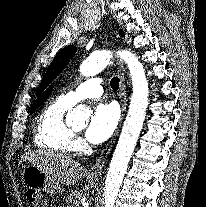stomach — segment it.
<instances>
[{
	"instance_id": "1",
	"label": "stomach",
	"mask_w": 206,
	"mask_h": 207,
	"mask_svg": "<svg viewBox=\"0 0 206 207\" xmlns=\"http://www.w3.org/2000/svg\"><path fill=\"white\" fill-rule=\"evenodd\" d=\"M21 178L26 187L38 192L53 195L61 190L55 180L32 164L24 167Z\"/></svg>"
}]
</instances>
